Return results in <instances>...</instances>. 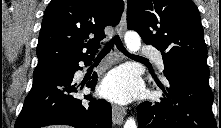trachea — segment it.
<instances>
[{
  "label": "trachea",
  "mask_w": 221,
  "mask_h": 128,
  "mask_svg": "<svg viewBox=\"0 0 221 128\" xmlns=\"http://www.w3.org/2000/svg\"><path fill=\"white\" fill-rule=\"evenodd\" d=\"M114 44H116L117 48L122 51L123 53L127 54V55H130L124 48L120 38L118 35H115L108 43L107 45L102 49V51L98 54V57H102V56H105L109 51L110 49L114 46ZM131 56H134V57H137V58H142V57H139V56H136V55H131ZM144 59V58H142Z\"/></svg>",
  "instance_id": "obj_1"
}]
</instances>
